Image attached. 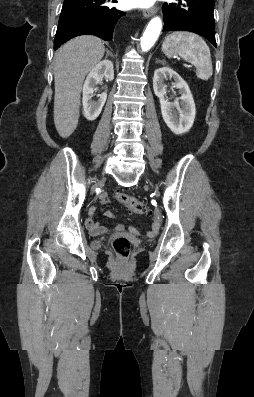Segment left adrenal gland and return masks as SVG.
Returning a JSON list of instances; mask_svg holds the SVG:
<instances>
[{
    "label": "left adrenal gland",
    "mask_w": 254,
    "mask_h": 397,
    "mask_svg": "<svg viewBox=\"0 0 254 397\" xmlns=\"http://www.w3.org/2000/svg\"><path fill=\"white\" fill-rule=\"evenodd\" d=\"M156 62H157V63H159V62H160V63H162V64L164 63V61H163V60H158V61H156Z\"/></svg>",
    "instance_id": "1"
}]
</instances>
